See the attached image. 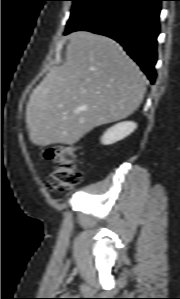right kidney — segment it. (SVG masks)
<instances>
[{
	"mask_svg": "<svg viewBox=\"0 0 180 299\" xmlns=\"http://www.w3.org/2000/svg\"><path fill=\"white\" fill-rule=\"evenodd\" d=\"M137 128V124L131 121L121 122L109 128L102 136L101 143L110 145L130 135Z\"/></svg>",
	"mask_w": 180,
	"mask_h": 299,
	"instance_id": "ca27d5eb",
	"label": "right kidney"
}]
</instances>
